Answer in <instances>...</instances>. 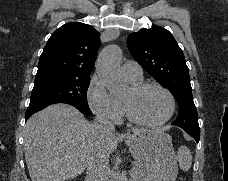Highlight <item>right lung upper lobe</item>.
Segmentation results:
<instances>
[{
	"instance_id": "cb5924a9",
	"label": "right lung upper lobe",
	"mask_w": 228,
	"mask_h": 181,
	"mask_svg": "<svg viewBox=\"0 0 228 181\" xmlns=\"http://www.w3.org/2000/svg\"><path fill=\"white\" fill-rule=\"evenodd\" d=\"M99 35L93 26L70 22L54 31L40 56L36 77L65 75L90 78Z\"/></svg>"
}]
</instances>
